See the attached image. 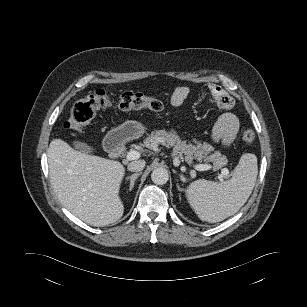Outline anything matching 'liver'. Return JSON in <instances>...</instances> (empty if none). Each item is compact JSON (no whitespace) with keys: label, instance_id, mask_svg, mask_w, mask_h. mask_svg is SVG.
I'll return each instance as SVG.
<instances>
[{"label":"liver","instance_id":"obj_1","mask_svg":"<svg viewBox=\"0 0 307 307\" xmlns=\"http://www.w3.org/2000/svg\"><path fill=\"white\" fill-rule=\"evenodd\" d=\"M47 157L54 192L73 215L96 227L122 217L125 168L120 162L76 151L60 139L51 141Z\"/></svg>","mask_w":307,"mask_h":307}]
</instances>
